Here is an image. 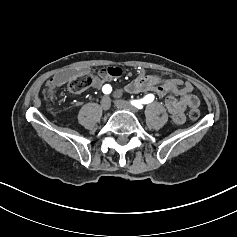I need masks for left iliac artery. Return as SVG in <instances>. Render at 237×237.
<instances>
[{"instance_id": "1", "label": "left iliac artery", "mask_w": 237, "mask_h": 237, "mask_svg": "<svg viewBox=\"0 0 237 237\" xmlns=\"http://www.w3.org/2000/svg\"><path fill=\"white\" fill-rule=\"evenodd\" d=\"M153 100H154V95L153 94H148V95H146L141 100H133V101H131V104L134 105L138 109H142L143 108L142 104L151 103Z\"/></svg>"}]
</instances>
